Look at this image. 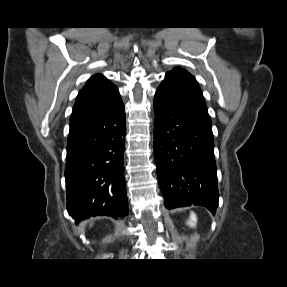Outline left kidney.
I'll use <instances>...</instances> for the list:
<instances>
[{"label": "left kidney", "instance_id": "1", "mask_svg": "<svg viewBox=\"0 0 287 287\" xmlns=\"http://www.w3.org/2000/svg\"><path fill=\"white\" fill-rule=\"evenodd\" d=\"M196 222H197L196 214L193 213V212H191L190 218H189L187 224H188L190 227H195Z\"/></svg>", "mask_w": 287, "mask_h": 287}]
</instances>
